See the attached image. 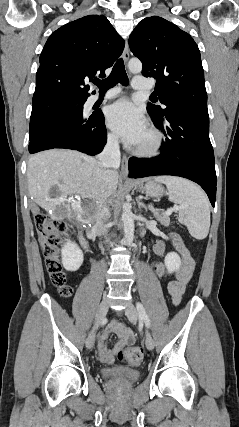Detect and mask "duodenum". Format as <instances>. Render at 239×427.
<instances>
[{"mask_svg":"<svg viewBox=\"0 0 239 427\" xmlns=\"http://www.w3.org/2000/svg\"><path fill=\"white\" fill-rule=\"evenodd\" d=\"M79 235H80L81 244H82L83 248L85 249V251H87L88 253H92L91 245H90L89 241L87 240V238L85 237L82 230L79 231Z\"/></svg>","mask_w":239,"mask_h":427,"instance_id":"obj_1","label":"duodenum"}]
</instances>
